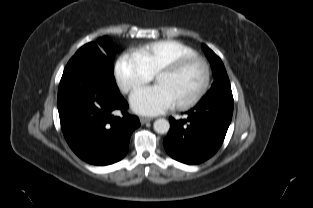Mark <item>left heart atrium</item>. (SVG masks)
<instances>
[{
	"mask_svg": "<svg viewBox=\"0 0 313 208\" xmlns=\"http://www.w3.org/2000/svg\"><path fill=\"white\" fill-rule=\"evenodd\" d=\"M130 104L138 114L155 116L171 109L175 102L165 87L155 85L135 90L130 97Z\"/></svg>",
	"mask_w": 313,
	"mask_h": 208,
	"instance_id": "39dd6f15",
	"label": "left heart atrium"
}]
</instances>
